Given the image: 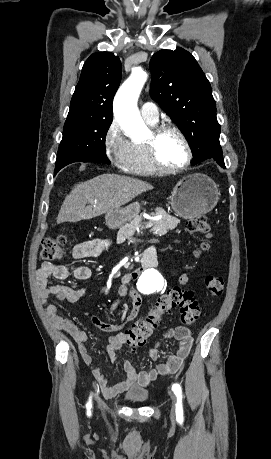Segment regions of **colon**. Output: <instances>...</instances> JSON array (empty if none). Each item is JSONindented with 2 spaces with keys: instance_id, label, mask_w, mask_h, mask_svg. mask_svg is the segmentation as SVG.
Returning a JSON list of instances; mask_svg holds the SVG:
<instances>
[{
  "instance_id": "obj_1",
  "label": "colon",
  "mask_w": 271,
  "mask_h": 459,
  "mask_svg": "<svg viewBox=\"0 0 271 459\" xmlns=\"http://www.w3.org/2000/svg\"><path fill=\"white\" fill-rule=\"evenodd\" d=\"M186 228L193 233L201 234L205 240L200 244V250L208 248L207 238L210 236V222L207 217L200 216L187 222ZM66 238L63 235L47 237L42 241L40 256L45 261H55L62 257ZM206 289L211 296L218 297L224 290V278L222 276H208L205 280ZM178 308L181 312L182 321L193 324L199 317V307L191 291L180 288H172L160 296L150 311L136 321L126 331V342L131 351H136L143 346L151 337L160 324L162 316Z\"/></svg>"
}]
</instances>
